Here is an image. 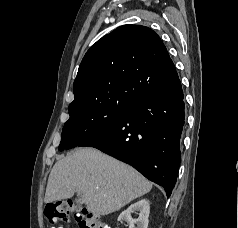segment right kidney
<instances>
[{
	"label": "right kidney",
	"instance_id": "1",
	"mask_svg": "<svg viewBox=\"0 0 238 228\" xmlns=\"http://www.w3.org/2000/svg\"><path fill=\"white\" fill-rule=\"evenodd\" d=\"M135 211L139 212V217L137 219H133L131 216V214ZM149 213V201L147 199H141L138 202L130 205L125 211H123L118 217V221L125 220L128 223L129 228H148Z\"/></svg>",
	"mask_w": 238,
	"mask_h": 228
}]
</instances>
